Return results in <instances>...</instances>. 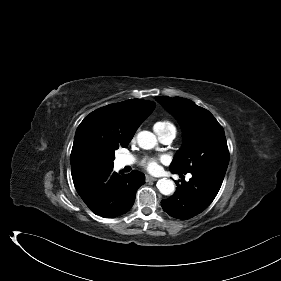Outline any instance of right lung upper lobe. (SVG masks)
I'll list each match as a JSON object with an SVG mask.
<instances>
[{"label": "right lung upper lobe", "mask_w": 281, "mask_h": 281, "mask_svg": "<svg viewBox=\"0 0 281 281\" xmlns=\"http://www.w3.org/2000/svg\"><path fill=\"white\" fill-rule=\"evenodd\" d=\"M155 103L132 99L91 112L77 128L71 151L75 187L113 167L115 150L126 147Z\"/></svg>", "instance_id": "obj_1"}]
</instances>
